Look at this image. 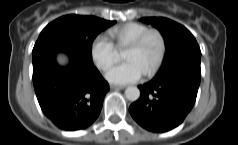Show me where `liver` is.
Instances as JSON below:
<instances>
[{
	"label": "liver",
	"instance_id": "liver-1",
	"mask_svg": "<svg viewBox=\"0 0 238 145\" xmlns=\"http://www.w3.org/2000/svg\"><path fill=\"white\" fill-rule=\"evenodd\" d=\"M57 62L60 64V65H66L68 63V58L64 55H59L57 57Z\"/></svg>",
	"mask_w": 238,
	"mask_h": 145
}]
</instances>
